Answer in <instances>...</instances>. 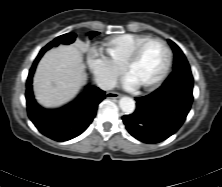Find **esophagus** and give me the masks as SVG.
Masks as SVG:
<instances>
[{
	"label": "esophagus",
	"mask_w": 222,
	"mask_h": 187,
	"mask_svg": "<svg viewBox=\"0 0 222 187\" xmlns=\"http://www.w3.org/2000/svg\"><path fill=\"white\" fill-rule=\"evenodd\" d=\"M106 97L111 98V99H118V98L121 97V95L119 93H116V92H107Z\"/></svg>",
	"instance_id": "obj_1"
}]
</instances>
